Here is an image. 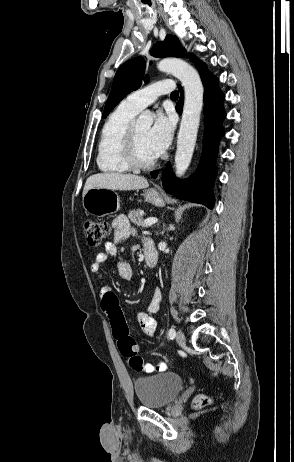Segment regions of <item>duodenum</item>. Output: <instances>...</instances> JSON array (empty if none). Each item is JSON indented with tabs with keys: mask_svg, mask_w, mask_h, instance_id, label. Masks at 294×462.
<instances>
[{
	"mask_svg": "<svg viewBox=\"0 0 294 462\" xmlns=\"http://www.w3.org/2000/svg\"><path fill=\"white\" fill-rule=\"evenodd\" d=\"M144 260L148 267L153 268L156 266L158 261V252L155 246L146 242L143 245Z\"/></svg>",
	"mask_w": 294,
	"mask_h": 462,
	"instance_id": "obj_1",
	"label": "duodenum"
}]
</instances>
